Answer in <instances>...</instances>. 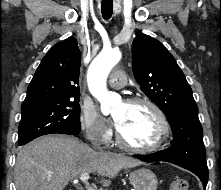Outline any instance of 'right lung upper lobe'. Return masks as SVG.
I'll list each match as a JSON object with an SVG mask.
<instances>
[{"mask_svg":"<svg viewBox=\"0 0 221 190\" xmlns=\"http://www.w3.org/2000/svg\"><path fill=\"white\" fill-rule=\"evenodd\" d=\"M80 64V51L74 37L55 44L42 59L22 105L80 98Z\"/></svg>","mask_w":221,"mask_h":190,"instance_id":"obj_1","label":"right lung upper lobe"}]
</instances>
